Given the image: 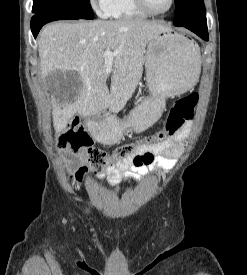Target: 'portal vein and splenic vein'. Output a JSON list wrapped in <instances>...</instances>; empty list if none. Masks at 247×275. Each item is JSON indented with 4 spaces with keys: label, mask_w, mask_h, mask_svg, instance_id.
Returning a JSON list of instances; mask_svg holds the SVG:
<instances>
[{
    "label": "portal vein and splenic vein",
    "mask_w": 247,
    "mask_h": 275,
    "mask_svg": "<svg viewBox=\"0 0 247 275\" xmlns=\"http://www.w3.org/2000/svg\"><path fill=\"white\" fill-rule=\"evenodd\" d=\"M116 52H111L109 50L105 51L104 53V58H105V62H106V71L110 72L111 71V62L113 57L116 55Z\"/></svg>",
    "instance_id": "1"
}]
</instances>
